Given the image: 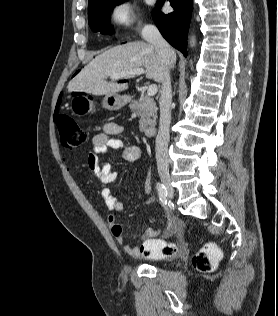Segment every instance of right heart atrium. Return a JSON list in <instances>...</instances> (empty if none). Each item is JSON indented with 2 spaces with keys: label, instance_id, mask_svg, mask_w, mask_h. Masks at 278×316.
<instances>
[{
  "label": "right heart atrium",
  "instance_id": "obj_1",
  "mask_svg": "<svg viewBox=\"0 0 278 316\" xmlns=\"http://www.w3.org/2000/svg\"><path fill=\"white\" fill-rule=\"evenodd\" d=\"M110 20L120 32L139 31L146 27L133 0H117L111 8Z\"/></svg>",
  "mask_w": 278,
  "mask_h": 316
}]
</instances>
